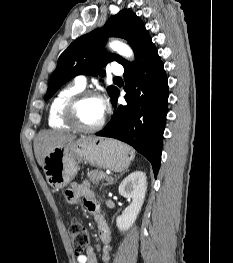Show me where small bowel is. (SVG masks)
Returning a JSON list of instances; mask_svg holds the SVG:
<instances>
[{"mask_svg":"<svg viewBox=\"0 0 233 263\" xmlns=\"http://www.w3.org/2000/svg\"><path fill=\"white\" fill-rule=\"evenodd\" d=\"M65 198L71 204H75L80 199H83L85 208L95 217L98 224L100 238L105 245L103 249L102 259L104 263H108L110 252L112 251V247L110 245V231L104 219L100 215L99 206L95 200L93 193L89 189V186L86 183H73L67 189ZM76 261L77 263H97V258L93 251V248L89 246L84 254L77 256Z\"/></svg>","mask_w":233,"mask_h":263,"instance_id":"c3829d8e","label":"small bowel"}]
</instances>
